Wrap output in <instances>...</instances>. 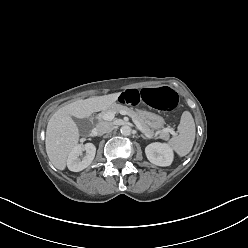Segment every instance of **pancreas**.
<instances>
[{
	"label": "pancreas",
	"instance_id": "pancreas-1",
	"mask_svg": "<svg viewBox=\"0 0 248 248\" xmlns=\"http://www.w3.org/2000/svg\"><path fill=\"white\" fill-rule=\"evenodd\" d=\"M120 111H125L132 119L138 121L145 132H147L149 134L153 133V130L140 118V116L134 110H132L131 108H128L126 106H122L119 104H113L109 108L105 109L101 113V116L107 112H113L116 114V113H119ZM161 136L163 138H168L169 135H168V133H163Z\"/></svg>",
	"mask_w": 248,
	"mask_h": 248
}]
</instances>
